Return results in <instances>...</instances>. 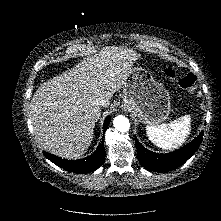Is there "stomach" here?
Returning a JSON list of instances; mask_svg holds the SVG:
<instances>
[{
  "mask_svg": "<svg viewBox=\"0 0 221 221\" xmlns=\"http://www.w3.org/2000/svg\"><path fill=\"white\" fill-rule=\"evenodd\" d=\"M122 88L124 108L144 124L156 126L168 118L171 108L169 93L148 70L133 67Z\"/></svg>",
  "mask_w": 221,
  "mask_h": 221,
  "instance_id": "stomach-1",
  "label": "stomach"
}]
</instances>
